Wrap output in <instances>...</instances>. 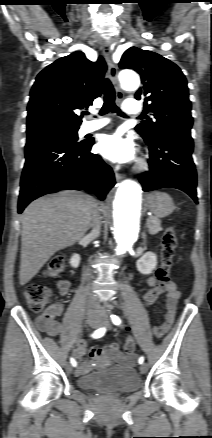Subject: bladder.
Returning a JSON list of instances; mask_svg holds the SVG:
<instances>
[{"label":"bladder","mask_w":212,"mask_h":438,"mask_svg":"<svg viewBox=\"0 0 212 438\" xmlns=\"http://www.w3.org/2000/svg\"><path fill=\"white\" fill-rule=\"evenodd\" d=\"M77 383L88 390H109L114 394H123L137 390L140 379L130 367H110L79 377Z\"/></svg>","instance_id":"bladder-1"}]
</instances>
